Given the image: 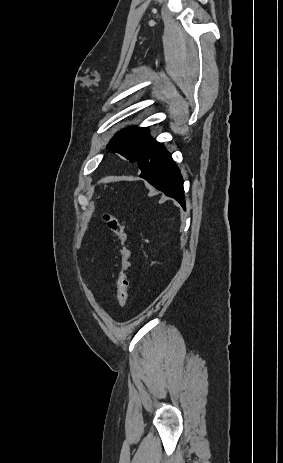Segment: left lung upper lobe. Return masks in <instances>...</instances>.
I'll return each mask as SVG.
<instances>
[{
    "label": "left lung upper lobe",
    "instance_id": "left-lung-upper-lobe-1",
    "mask_svg": "<svg viewBox=\"0 0 283 463\" xmlns=\"http://www.w3.org/2000/svg\"><path fill=\"white\" fill-rule=\"evenodd\" d=\"M153 138L147 128L130 127L117 133L107 145L113 153H119L131 163L137 162L139 157L150 147Z\"/></svg>",
    "mask_w": 283,
    "mask_h": 463
}]
</instances>
